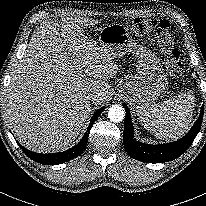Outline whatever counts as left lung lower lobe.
Segmentation results:
<instances>
[{"mask_svg": "<svg viewBox=\"0 0 206 206\" xmlns=\"http://www.w3.org/2000/svg\"><path fill=\"white\" fill-rule=\"evenodd\" d=\"M123 106L126 110L123 133L125 150L132 158L147 163L168 162L182 155L190 147L199 133L204 114L203 105L198 120L192 129L180 140L167 144L150 145L138 142L133 138L134 127L132 125L130 111L125 103Z\"/></svg>", "mask_w": 206, "mask_h": 206, "instance_id": "1", "label": "left lung lower lobe"}]
</instances>
